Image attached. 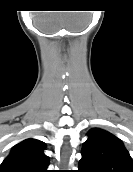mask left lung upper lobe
Here are the masks:
<instances>
[{"mask_svg": "<svg viewBox=\"0 0 133 172\" xmlns=\"http://www.w3.org/2000/svg\"><path fill=\"white\" fill-rule=\"evenodd\" d=\"M81 154L79 172H133L132 159L122 141L105 130L92 129Z\"/></svg>", "mask_w": 133, "mask_h": 172, "instance_id": "1", "label": "left lung upper lobe"}]
</instances>
